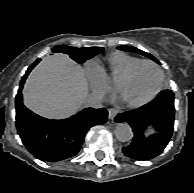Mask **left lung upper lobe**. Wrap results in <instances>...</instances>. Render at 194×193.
<instances>
[{
    "mask_svg": "<svg viewBox=\"0 0 194 193\" xmlns=\"http://www.w3.org/2000/svg\"><path fill=\"white\" fill-rule=\"evenodd\" d=\"M118 48L121 49V50H124V51H130V52H134V53H137V54L144 55L146 57L151 58L152 60H154L155 62H157L159 64V61L155 57H153L151 54L146 53V52H144V51H142L140 49H137L135 47H131V46H119Z\"/></svg>",
    "mask_w": 194,
    "mask_h": 193,
    "instance_id": "5c2ea615",
    "label": "left lung upper lobe"
}]
</instances>
